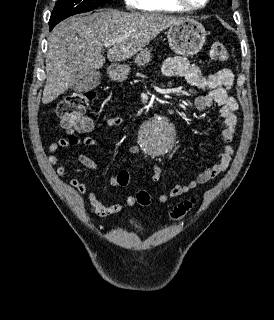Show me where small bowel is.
I'll use <instances>...</instances> for the list:
<instances>
[{"instance_id": "obj_1", "label": "small bowel", "mask_w": 274, "mask_h": 320, "mask_svg": "<svg viewBox=\"0 0 274 320\" xmlns=\"http://www.w3.org/2000/svg\"><path fill=\"white\" fill-rule=\"evenodd\" d=\"M163 73L168 77H185L189 85L195 88L209 90L206 95L197 96L194 99V105L201 111L207 110L213 105H217L224 121V128L221 134L224 142V151L218 155V161L188 183L176 185L170 191L158 196L157 199L160 203H167L178 196L188 193L197 186L209 182L227 169L234 153L231 142L235 139L238 130L239 119L237 112L239 105L236 99L229 94L230 89L234 85L235 76L232 70L228 68H223L209 75H204L200 71L199 67L194 64H190L187 58L182 56H172L164 61ZM75 124L77 125L76 129L78 131L87 132L92 129V126H96V129H99L98 125L100 124V121L98 119H77ZM105 124L109 128L119 127L123 124V119L118 116L111 117L106 120ZM71 145H83L93 148L96 147L98 143L94 138L89 136L76 138L73 142H70L67 139H60L49 146V162L51 164H56L58 161L57 151ZM128 150L134 155L142 153L137 146H130ZM78 158L81 164L90 170H97L99 168V164L95 160L83 153H80ZM152 171V181H160L162 174L160 166L154 164L152 166ZM56 172L59 176H63L66 172V167L64 165H60L56 169ZM118 174L129 175L128 172L124 170L120 171ZM117 176H110L108 178V183L111 186H120ZM69 183L81 196H85L87 198L90 211L99 217L118 214L136 203L134 197L129 196L123 203L105 205L100 201L96 192L89 189L87 185L78 178H71Z\"/></svg>"}]
</instances>
